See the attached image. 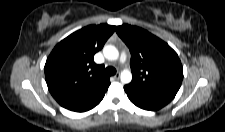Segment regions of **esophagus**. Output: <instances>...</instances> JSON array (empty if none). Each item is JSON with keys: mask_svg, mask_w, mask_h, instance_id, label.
I'll return each mask as SVG.
<instances>
[{"mask_svg": "<svg viewBox=\"0 0 225 132\" xmlns=\"http://www.w3.org/2000/svg\"><path fill=\"white\" fill-rule=\"evenodd\" d=\"M119 78H120V74H116V75L113 76L114 80H119Z\"/></svg>", "mask_w": 225, "mask_h": 132, "instance_id": "obj_1", "label": "esophagus"}]
</instances>
